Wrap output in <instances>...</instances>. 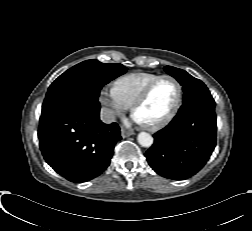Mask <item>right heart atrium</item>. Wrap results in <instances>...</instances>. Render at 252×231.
Here are the masks:
<instances>
[{"instance_id": "right-heart-atrium-1", "label": "right heart atrium", "mask_w": 252, "mask_h": 231, "mask_svg": "<svg viewBox=\"0 0 252 231\" xmlns=\"http://www.w3.org/2000/svg\"><path fill=\"white\" fill-rule=\"evenodd\" d=\"M99 102L103 107V118L107 122L123 117L130 109V106L121 99L114 87L103 89L99 96Z\"/></svg>"}]
</instances>
